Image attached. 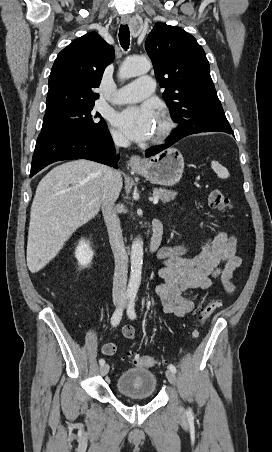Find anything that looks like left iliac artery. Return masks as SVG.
I'll list each match as a JSON object with an SVG mask.
<instances>
[{
	"label": "left iliac artery",
	"instance_id": "obj_1",
	"mask_svg": "<svg viewBox=\"0 0 272 452\" xmlns=\"http://www.w3.org/2000/svg\"><path fill=\"white\" fill-rule=\"evenodd\" d=\"M135 299L136 296L133 295L130 297V301H129V305H128V309H127V314L129 316V318L131 319H135L136 318V312H135ZM168 368L173 371L174 373H176V367L173 364H169ZM187 415L192 417L193 416V412L192 410L189 408L187 411Z\"/></svg>",
	"mask_w": 272,
	"mask_h": 452
}]
</instances>
